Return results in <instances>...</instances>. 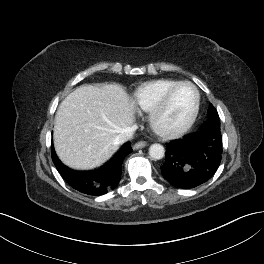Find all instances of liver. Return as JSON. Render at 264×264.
<instances>
[{
    "instance_id": "1",
    "label": "liver",
    "mask_w": 264,
    "mask_h": 264,
    "mask_svg": "<svg viewBox=\"0 0 264 264\" xmlns=\"http://www.w3.org/2000/svg\"><path fill=\"white\" fill-rule=\"evenodd\" d=\"M135 102L118 84L80 86L59 105L54 146L60 160L77 170L93 169L118 149L115 138L135 119Z\"/></svg>"
}]
</instances>
